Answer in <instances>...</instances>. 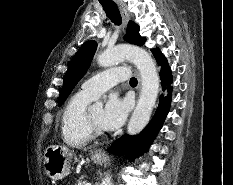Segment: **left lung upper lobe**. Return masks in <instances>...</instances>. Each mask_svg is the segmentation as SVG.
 I'll use <instances>...</instances> for the list:
<instances>
[{
	"instance_id": "left-lung-upper-lobe-1",
	"label": "left lung upper lobe",
	"mask_w": 233,
	"mask_h": 185,
	"mask_svg": "<svg viewBox=\"0 0 233 185\" xmlns=\"http://www.w3.org/2000/svg\"><path fill=\"white\" fill-rule=\"evenodd\" d=\"M125 39L129 43L136 44L138 46H142L146 42V38H143L139 35V26L132 21H130L128 24ZM96 48L97 43L95 41H88L80 47L76 55L70 61L68 70L65 74L63 87L58 99L59 106L64 103L68 95L73 90L74 86L86 73L96 51Z\"/></svg>"
}]
</instances>
